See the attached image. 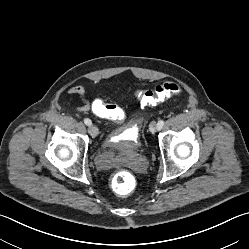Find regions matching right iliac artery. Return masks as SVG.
I'll list each match as a JSON object with an SVG mask.
<instances>
[{
	"mask_svg": "<svg viewBox=\"0 0 249 249\" xmlns=\"http://www.w3.org/2000/svg\"><path fill=\"white\" fill-rule=\"evenodd\" d=\"M84 123L88 126L92 124L91 120L88 118L84 119Z\"/></svg>",
	"mask_w": 249,
	"mask_h": 249,
	"instance_id": "1",
	"label": "right iliac artery"
}]
</instances>
